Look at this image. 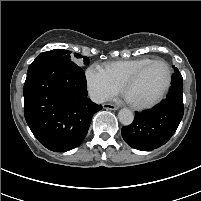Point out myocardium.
Wrapping results in <instances>:
<instances>
[{"label": "myocardium", "mask_w": 201, "mask_h": 201, "mask_svg": "<svg viewBox=\"0 0 201 201\" xmlns=\"http://www.w3.org/2000/svg\"><path fill=\"white\" fill-rule=\"evenodd\" d=\"M154 63H162L166 66V69H167V81H166L165 86L161 90V92L154 99H152L148 102H133V101L128 100L126 97L127 89L138 79V77L143 73V71L146 68H148L150 65H152ZM172 78H173V71H172L170 64L166 60L161 59V58L152 59V60L148 61L147 63H145L144 65H142L141 67H139L136 71H134L123 82V84L121 86V90H122L123 95L127 99L128 103L132 107H134L136 109H147V108L153 107L154 105L158 104L164 98V96L167 94V92L169 91V89L171 87Z\"/></svg>", "instance_id": "1"}]
</instances>
